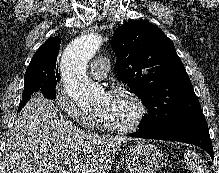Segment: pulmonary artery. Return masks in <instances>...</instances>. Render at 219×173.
I'll use <instances>...</instances> for the list:
<instances>
[{"mask_svg":"<svg viewBox=\"0 0 219 173\" xmlns=\"http://www.w3.org/2000/svg\"><path fill=\"white\" fill-rule=\"evenodd\" d=\"M109 59L105 56H98L93 59L89 67V74L92 78H105L109 72Z\"/></svg>","mask_w":219,"mask_h":173,"instance_id":"1","label":"pulmonary artery"}]
</instances>
